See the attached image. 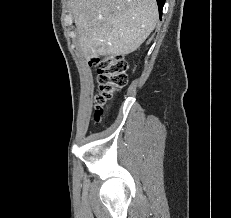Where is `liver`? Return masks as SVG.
<instances>
[{
    "mask_svg": "<svg viewBox=\"0 0 231 218\" xmlns=\"http://www.w3.org/2000/svg\"><path fill=\"white\" fill-rule=\"evenodd\" d=\"M83 55H127L147 39L158 19L156 0H71Z\"/></svg>",
    "mask_w": 231,
    "mask_h": 218,
    "instance_id": "6515ba94",
    "label": "liver"
}]
</instances>
